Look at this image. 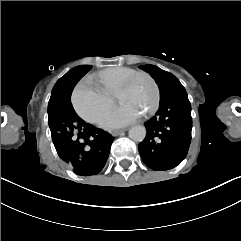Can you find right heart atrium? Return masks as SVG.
I'll return each instance as SVG.
<instances>
[{"label": "right heart atrium", "instance_id": "d8ad5b80", "mask_svg": "<svg viewBox=\"0 0 241 241\" xmlns=\"http://www.w3.org/2000/svg\"><path fill=\"white\" fill-rule=\"evenodd\" d=\"M85 85L78 86L72 94V104L77 114L86 122L96 124L111 107V100L96 86L97 79L88 75Z\"/></svg>", "mask_w": 241, "mask_h": 241}]
</instances>
